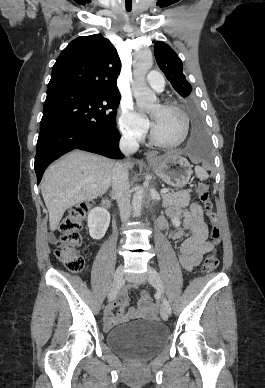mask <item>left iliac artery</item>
Instances as JSON below:
<instances>
[{
    "mask_svg": "<svg viewBox=\"0 0 265 388\" xmlns=\"http://www.w3.org/2000/svg\"><path fill=\"white\" fill-rule=\"evenodd\" d=\"M164 304H165V306H166V308L168 310V313L171 314V307H170L169 302L166 299H164Z\"/></svg>",
    "mask_w": 265,
    "mask_h": 388,
    "instance_id": "obj_1",
    "label": "left iliac artery"
}]
</instances>
